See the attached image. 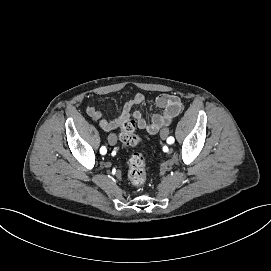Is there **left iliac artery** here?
<instances>
[{
    "mask_svg": "<svg viewBox=\"0 0 271 271\" xmlns=\"http://www.w3.org/2000/svg\"><path fill=\"white\" fill-rule=\"evenodd\" d=\"M174 142V137H168L167 138V143L171 144Z\"/></svg>",
    "mask_w": 271,
    "mask_h": 271,
    "instance_id": "obj_1",
    "label": "left iliac artery"
}]
</instances>
